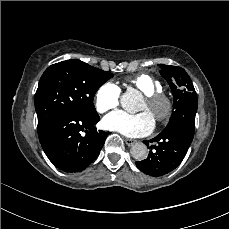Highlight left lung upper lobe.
I'll return each instance as SVG.
<instances>
[{"label": "left lung upper lobe", "instance_id": "obj_1", "mask_svg": "<svg viewBox=\"0 0 229 229\" xmlns=\"http://www.w3.org/2000/svg\"><path fill=\"white\" fill-rule=\"evenodd\" d=\"M161 76L167 80L173 93V112L164 130H184L194 135L197 94L189 75L177 66L160 65Z\"/></svg>", "mask_w": 229, "mask_h": 229}]
</instances>
